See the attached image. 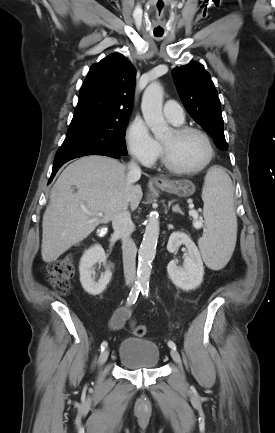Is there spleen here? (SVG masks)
<instances>
[{
    "label": "spleen",
    "instance_id": "3e777b00",
    "mask_svg": "<svg viewBox=\"0 0 275 433\" xmlns=\"http://www.w3.org/2000/svg\"><path fill=\"white\" fill-rule=\"evenodd\" d=\"M234 187L229 175L214 166L207 172L202 189L206 231L198 245L205 264L222 269L230 260L237 238V218L233 207Z\"/></svg>",
    "mask_w": 275,
    "mask_h": 433
}]
</instances>
